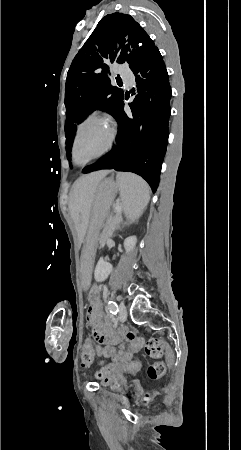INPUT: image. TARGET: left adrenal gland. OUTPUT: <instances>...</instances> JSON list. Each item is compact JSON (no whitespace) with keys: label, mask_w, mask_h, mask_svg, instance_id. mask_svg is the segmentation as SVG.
I'll return each instance as SVG.
<instances>
[{"label":"left adrenal gland","mask_w":241,"mask_h":450,"mask_svg":"<svg viewBox=\"0 0 241 450\" xmlns=\"http://www.w3.org/2000/svg\"><path fill=\"white\" fill-rule=\"evenodd\" d=\"M131 222H134V220H128V222H124V224H131ZM117 228H120V224H118Z\"/></svg>","instance_id":"obj_1"}]
</instances>
